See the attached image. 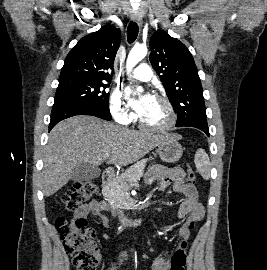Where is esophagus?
Instances as JSON below:
<instances>
[{
  "label": "esophagus",
  "mask_w": 267,
  "mask_h": 270,
  "mask_svg": "<svg viewBox=\"0 0 267 270\" xmlns=\"http://www.w3.org/2000/svg\"><path fill=\"white\" fill-rule=\"evenodd\" d=\"M131 18L139 26H142V15L139 12H133L132 15H131Z\"/></svg>",
  "instance_id": "34e87169"
}]
</instances>
